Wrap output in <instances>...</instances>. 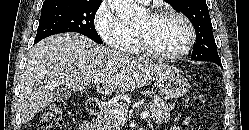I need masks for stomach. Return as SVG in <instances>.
I'll use <instances>...</instances> for the list:
<instances>
[{
    "label": "stomach",
    "instance_id": "stomach-1",
    "mask_svg": "<svg viewBox=\"0 0 249 130\" xmlns=\"http://www.w3.org/2000/svg\"><path fill=\"white\" fill-rule=\"evenodd\" d=\"M155 80L159 92L166 98H180L190 90L188 80L178 70L165 72Z\"/></svg>",
    "mask_w": 249,
    "mask_h": 130
}]
</instances>
